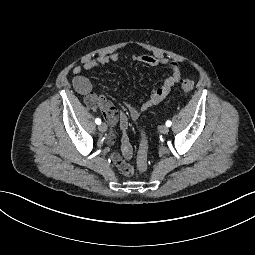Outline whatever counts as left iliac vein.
Segmentation results:
<instances>
[{"mask_svg":"<svg viewBox=\"0 0 255 255\" xmlns=\"http://www.w3.org/2000/svg\"><path fill=\"white\" fill-rule=\"evenodd\" d=\"M159 131L161 134H167L169 132V128L166 125H161L159 127Z\"/></svg>","mask_w":255,"mask_h":255,"instance_id":"obj_1","label":"left iliac vein"}]
</instances>
